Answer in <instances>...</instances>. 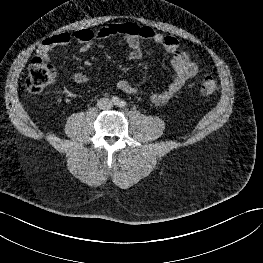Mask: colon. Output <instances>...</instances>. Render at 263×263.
I'll use <instances>...</instances> for the list:
<instances>
[{
    "instance_id": "colon-1",
    "label": "colon",
    "mask_w": 263,
    "mask_h": 263,
    "mask_svg": "<svg viewBox=\"0 0 263 263\" xmlns=\"http://www.w3.org/2000/svg\"><path fill=\"white\" fill-rule=\"evenodd\" d=\"M55 77V68L40 57H35L29 63L25 87L29 92L38 93L52 83ZM217 90L218 83L213 77L206 76L202 79L200 86L202 94L210 95Z\"/></svg>"
}]
</instances>
